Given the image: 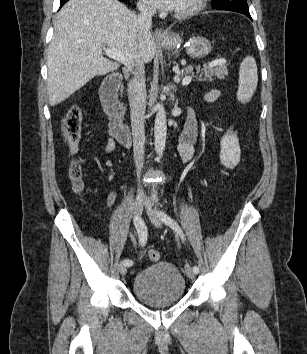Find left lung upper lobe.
I'll return each mask as SVG.
<instances>
[{"label": "left lung upper lobe", "mask_w": 307, "mask_h": 354, "mask_svg": "<svg viewBox=\"0 0 307 354\" xmlns=\"http://www.w3.org/2000/svg\"><path fill=\"white\" fill-rule=\"evenodd\" d=\"M212 7L249 10L246 0H212Z\"/></svg>", "instance_id": "left-lung-upper-lobe-1"}]
</instances>
